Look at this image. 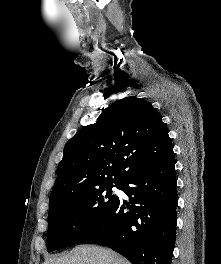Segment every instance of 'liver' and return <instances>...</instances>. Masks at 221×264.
Segmentation results:
<instances>
[{"mask_svg":"<svg viewBox=\"0 0 221 264\" xmlns=\"http://www.w3.org/2000/svg\"><path fill=\"white\" fill-rule=\"evenodd\" d=\"M43 264H130L117 253L98 246H77L68 254L48 257Z\"/></svg>","mask_w":221,"mask_h":264,"instance_id":"obj_1","label":"liver"}]
</instances>
